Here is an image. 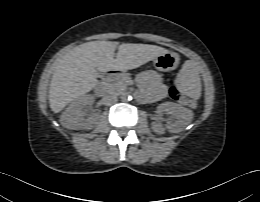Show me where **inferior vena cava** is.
Here are the masks:
<instances>
[{
    "label": "inferior vena cava",
    "mask_w": 260,
    "mask_h": 202,
    "mask_svg": "<svg viewBox=\"0 0 260 202\" xmlns=\"http://www.w3.org/2000/svg\"><path fill=\"white\" fill-rule=\"evenodd\" d=\"M118 101V98L115 94H107L103 97V102L105 105H113Z\"/></svg>",
    "instance_id": "602c4592"
}]
</instances>
